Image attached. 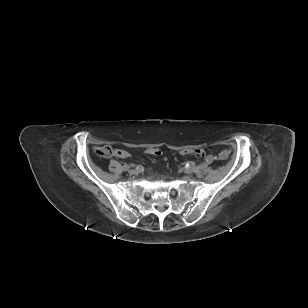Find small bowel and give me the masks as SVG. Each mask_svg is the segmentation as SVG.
<instances>
[{
    "mask_svg": "<svg viewBox=\"0 0 308 308\" xmlns=\"http://www.w3.org/2000/svg\"><path fill=\"white\" fill-rule=\"evenodd\" d=\"M228 157V151L227 150H222L220 153H219V158L220 159H226Z\"/></svg>",
    "mask_w": 308,
    "mask_h": 308,
    "instance_id": "small-bowel-1",
    "label": "small bowel"
}]
</instances>
